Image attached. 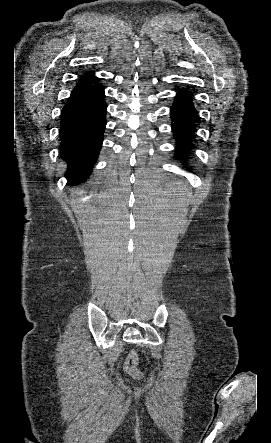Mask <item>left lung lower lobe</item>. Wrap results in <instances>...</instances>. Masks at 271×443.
I'll return each mask as SVG.
<instances>
[{
  "label": "left lung lower lobe",
  "mask_w": 271,
  "mask_h": 443,
  "mask_svg": "<svg viewBox=\"0 0 271 443\" xmlns=\"http://www.w3.org/2000/svg\"><path fill=\"white\" fill-rule=\"evenodd\" d=\"M190 94L185 90H180L171 107L172 131L177 139V158L187 159L190 151L194 147L195 121L198 119Z\"/></svg>",
  "instance_id": "0a47b994"
}]
</instances>
